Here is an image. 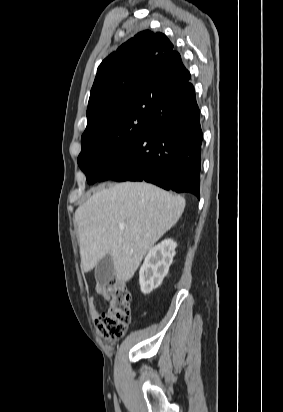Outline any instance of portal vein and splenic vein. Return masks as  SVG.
<instances>
[{
  "label": "portal vein and splenic vein",
  "mask_w": 283,
  "mask_h": 412,
  "mask_svg": "<svg viewBox=\"0 0 283 412\" xmlns=\"http://www.w3.org/2000/svg\"><path fill=\"white\" fill-rule=\"evenodd\" d=\"M123 227H124V226H123L122 224L119 225V228H120V229H123Z\"/></svg>",
  "instance_id": "portal-vein-and-splenic-vein-1"
}]
</instances>
